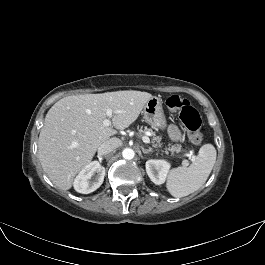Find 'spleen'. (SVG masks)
Masks as SVG:
<instances>
[{
  "label": "spleen",
  "instance_id": "1",
  "mask_svg": "<svg viewBox=\"0 0 265 265\" xmlns=\"http://www.w3.org/2000/svg\"><path fill=\"white\" fill-rule=\"evenodd\" d=\"M216 155L212 144H204L189 167L172 169L167 180L169 193L173 197H184L202 187L213 169Z\"/></svg>",
  "mask_w": 265,
  "mask_h": 265
}]
</instances>
